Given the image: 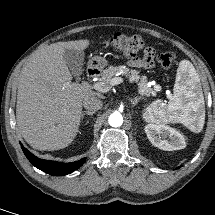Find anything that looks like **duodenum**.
Listing matches in <instances>:
<instances>
[{
	"label": "duodenum",
	"instance_id": "410a0bca",
	"mask_svg": "<svg viewBox=\"0 0 215 215\" xmlns=\"http://www.w3.org/2000/svg\"><path fill=\"white\" fill-rule=\"evenodd\" d=\"M86 74L89 78L96 77L99 74V71L97 68L91 66L87 69Z\"/></svg>",
	"mask_w": 215,
	"mask_h": 215
}]
</instances>
